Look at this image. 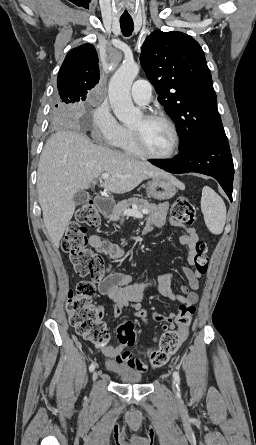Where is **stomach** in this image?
<instances>
[{"label":"stomach","mask_w":256,"mask_h":445,"mask_svg":"<svg viewBox=\"0 0 256 445\" xmlns=\"http://www.w3.org/2000/svg\"><path fill=\"white\" fill-rule=\"evenodd\" d=\"M176 182L171 176H154L147 183V196L157 200H168L176 194Z\"/></svg>","instance_id":"obj_1"}]
</instances>
